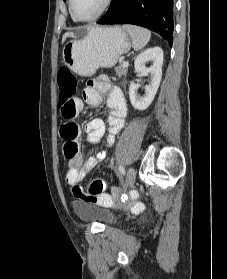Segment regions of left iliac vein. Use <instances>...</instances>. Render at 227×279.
I'll return each mask as SVG.
<instances>
[{
    "instance_id": "4c4485c4",
    "label": "left iliac vein",
    "mask_w": 227,
    "mask_h": 279,
    "mask_svg": "<svg viewBox=\"0 0 227 279\" xmlns=\"http://www.w3.org/2000/svg\"><path fill=\"white\" fill-rule=\"evenodd\" d=\"M135 179H136L135 169L130 167L127 171V180L125 183V189L132 187Z\"/></svg>"
}]
</instances>
